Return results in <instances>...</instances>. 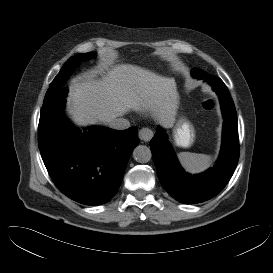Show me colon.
<instances>
[{"instance_id":"obj_1","label":"colon","mask_w":273,"mask_h":273,"mask_svg":"<svg viewBox=\"0 0 273 273\" xmlns=\"http://www.w3.org/2000/svg\"><path fill=\"white\" fill-rule=\"evenodd\" d=\"M202 106L206 111H212L215 108V101L210 97H206L202 102Z\"/></svg>"}]
</instances>
